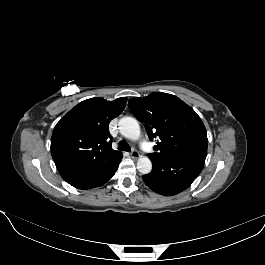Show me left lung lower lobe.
<instances>
[{
    "label": "left lung lower lobe",
    "mask_w": 265,
    "mask_h": 265,
    "mask_svg": "<svg viewBox=\"0 0 265 265\" xmlns=\"http://www.w3.org/2000/svg\"><path fill=\"white\" fill-rule=\"evenodd\" d=\"M207 150H195L168 157H149L153 164L151 173L143 180L153 191L171 196L187 189L203 169Z\"/></svg>",
    "instance_id": "obj_1"
}]
</instances>
